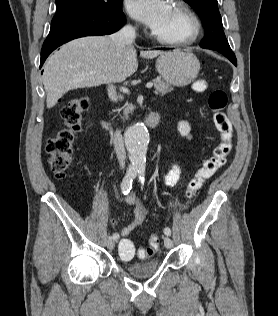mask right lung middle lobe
Here are the masks:
<instances>
[{"label":"right lung middle lobe","instance_id":"1","mask_svg":"<svg viewBox=\"0 0 278 316\" xmlns=\"http://www.w3.org/2000/svg\"><path fill=\"white\" fill-rule=\"evenodd\" d=\"M114 3L113 0H56L57 11L53 19L85 11L107 10Z\"/></svg>","mask_w":278,"mask_h":316}]
</instances>
